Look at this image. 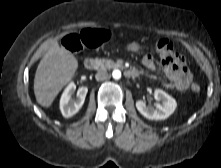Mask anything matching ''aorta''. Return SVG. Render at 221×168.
<instances>
[{"mask_svg":"<svg viewBox=\"0 0 221 168\" xmlns=\"http://www.w3.org/2000/svg\"><path fill=\"white\" fill-rule=\"evenodd\" d=\"M112 76H113V78L116 79V80L120 79V78H121V71L118 70V69L114 70V71L112 72Z\"/></svg>","mask_w":221,"mask_h":168,"instance_id":"1","label":"aorta"}]
</instances>
